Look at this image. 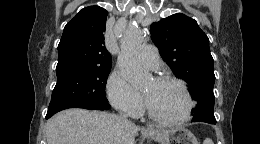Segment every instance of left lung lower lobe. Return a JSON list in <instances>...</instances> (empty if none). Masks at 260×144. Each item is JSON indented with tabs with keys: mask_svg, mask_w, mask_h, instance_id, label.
Here are the masks:
<instances>
[{
	"mask_svg": "<svg viewBox=\"0 0 260 144\" xmlns=\"http://www.w3.org/2000/svg\"><path fill=\"white\" fill-rule=\"evenodd\" d=\"M210 124H214V125H215V124H216V121H214V122H210Z\"/></svg>",
	"mask_w": 260,
	"mask_h": 144,
	"instance_id": "obj_1",
	"label": "left lung lower lobe"
}]
</instances>
